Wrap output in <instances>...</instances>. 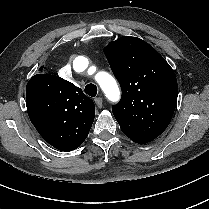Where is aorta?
Returning a JSON list of instances; mask_svg holds the SVG:
<instances>
[{"mask_svg": "<svg viewBox=\"0 0 209 209\" xmlns=\"http://www.w3.org/2000/svg\"><path fill=\"white\" fill-rule=\"evenodd\" d=\"M88 59L83 56H78L73 62V67L75 71L81 72L87 65ZM96 80L102 90L106 93L109 98L114 97L118 92V85L116 80L107 72H100L96 76Z\"/></svg>", "mask_w": 209, "mask_h": 209, "instance_id": "aorta-1", "label": "aorta"}]
</instances>
